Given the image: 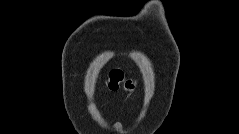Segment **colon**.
Wrapping results in <instances>:
<instances>
[{"label":"colon","mask_w":239,"mask_h":134,"mask_svg":"<svg viewBox=\"0 0 239 134\" xmlns=\"http://www.w3.org/2000/svg\"><path fill=\"white\" fill-rule=\"evenodd\" d=\"M107 87L112 91L123 90L130 92L133 90L132 82L125 79L122 72L119 70H113L110 72L107 80Z\"/></svg>","instance_id":"1"}]
</instances>
